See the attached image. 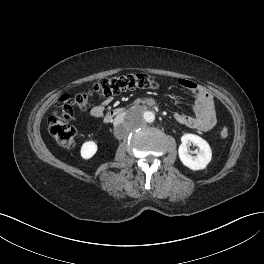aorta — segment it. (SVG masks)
<instances>
[{
	"label": "aorta",
	"instance_id": "obj_1",
	"mask_svg": "<svg viewBox=\"0 0 264 264\" xmlns=\"http://www.w3.org/2000/svg\"><path fill=\"white\" fill-rule=\"evenodd\" d=\"M141 116L143 118V121L148 123H152L155 120V114L152 111H144Z\"/></svg>",
	"mask_w": 264,
	"mask_h": 264
}]
</instances>
